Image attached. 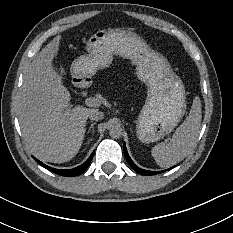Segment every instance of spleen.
<instances>
[{"label": "spleen", "mask_w": 233, "mask_h": 233, "mask_svg": "<svg viewBox=\"0 0 233 233\" xmlns=\"http://www.w3.org/2000/svg\"><path fill=\"white\" fill-rule=\"evenodd\" d=\"M201 107V100L196 95L189 114L175 130L173 139L159 142L154 146L152 153L161 167H171L177 164L194 148L200 133Z\"/></svg>", "instance_id": "spleen-1"}]
</instances>
